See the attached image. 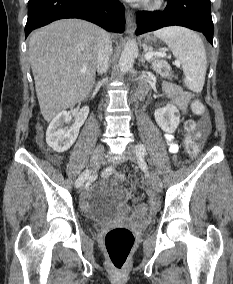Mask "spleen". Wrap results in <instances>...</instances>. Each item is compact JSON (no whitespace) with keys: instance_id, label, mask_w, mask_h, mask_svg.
Instances as JSON below:
<instances>
[{"instance_id":"spleen-1","label":"spleen","mask_w":233,"mask_h":284,"mask_svg":"<svg viewBox=\"0 0 233 284\" xmlns=\"http://www.w3.org/2000/svg\"><path fill=\"white\" fill-rule=\"evenodd\" d=\"M154 35L164 41L180 61L187 88L200 93L204 86L207 70L206 51L200 36L194 31L180 26L157 30Z\"/></svg>"}]
</instances>
